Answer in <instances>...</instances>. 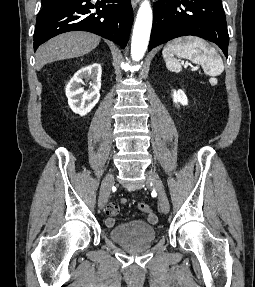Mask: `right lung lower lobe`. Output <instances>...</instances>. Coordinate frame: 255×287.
<instances>
[{"label": "right lung lower lobe", "mask_w": 255, "mask_h": 287, "mask_svg": "<svg viewBox=\"0 0 255 287\" xmlns=\"http://www.w3.org/2000/svg\"><path fill=\"white\" fill-rule=\"evenodd\" d=\"M38 13L34 51L50 38L68 31H89L124 48L133 21L130 0H55Z\"/></svg>", "instance_id": "1"}]
</instances>
